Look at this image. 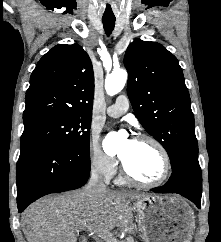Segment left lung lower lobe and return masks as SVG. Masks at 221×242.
Segmentation results:
<instances>
[{"mask_svg":"<svg viewBox=\"0 0 221 242\" xmlns=\"http://www.w3.org/2000/svg\"><path fill=\"white\" fill-rule=\"evenodd\" d=\"M172 175L161 187L151 189L155 193H178L201 207L202 173L198 157L183 159L172 169Z\"/></svg>","mask_w":221,"mask_h":242,"instance_id":"left-lung-lower-lobe-1","label":"left lung lower lobe"}]
</instances>
